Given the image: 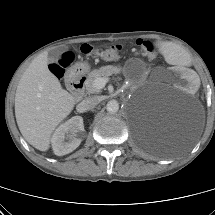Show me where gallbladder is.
<instances>
[{
  "label": "gallbladder",
  "mask_w": 215,
  "mask_h": 215,
  "mask_svg": "<svg viewBox=\"0 0 215 215\" xmlns=\"http://www.w3.org/2000/svg\"><path fill=\"white\" fill-rule=\"evenodd\" d=\"M66 50L67 49L65 46H61L51 50L48 54L49 61L50 62L57 61L60 58V56L66 52Z\"/></svg>",
  "instance_id": "1"
}]
</instances>
